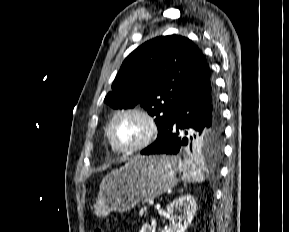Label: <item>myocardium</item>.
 Wrapping results in <instances>:
<instances>
[{
    "label": "myocardium",
    "mask_w": 289,
    "mask_h": 232,
    "mask_svg": "<svg viewBox=\"0 0 289 232\" xmlns=\"http://www.w3.org/2000/svg\"><path fill=\"white\" fill-rule=\"evenodd\" d=\"M123 115H136L140 117L147 126V132L144 138L140 142L131 146H122L118 144L113 137L114 123L120 116ZM158 134H159V125L156 118L148 110L138 106L126 107L116 111L112 116V118L110 119L107 127V137L110 145L115 150L124 153H132L143 150L144 148L148 147L151 143L154 142Z\"/></svg>",
    "instance_id": "myocardium-1"
}]
</instances>
